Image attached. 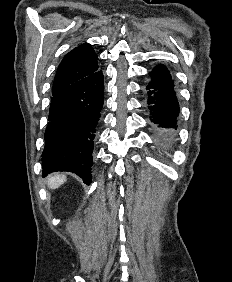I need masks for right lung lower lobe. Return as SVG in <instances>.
Returning <instances> with one entry per match:
<instances>
[{
    "label": "right lung lower lobe",
    "mask_w": 232,
    "mask_h": 282,
    "mask_svg": "<svg viewBox=\"0 0 232 282\" xmlns=\"http://www.w3.org/2000/svg\"><path fill=\"white\" fill-rule=\"evenodd\" d=\"M103 94L101 70L52 93L42 153L43 176L69 171L87 185L91 183L92 152Z\"/></svg>",
    "instance_id": "98d812e1"
}]
</instances>
